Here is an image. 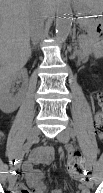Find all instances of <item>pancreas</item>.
<instances>
[{"label":"pancreas","mask_w":103,"mask_h":193,"mask_svg":"<svg viewBox=\"0 0 103 193\" xmlns=\"http://www.w3.org/2000/svg\"><path fill=\"white\" fill-rule=\"evenodd\" d=\"M84 25L88 26L89 23L87 21H84ZM79 46L82 49L84 54H88L90 51L89 48V41L87 38H85V36H81L79 37Z\"/></svg>","instance_id":"obj_1"}]
</instances>
